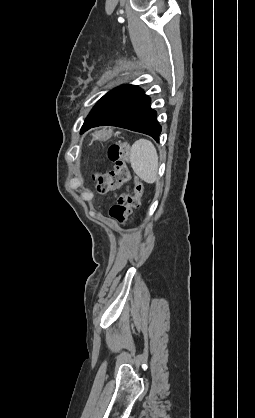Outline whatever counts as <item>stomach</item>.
Wrapping results in <instances>:
<instances>
[{"instance_id": "1", "label": "stomach", "mask_w": 255, "mask_h": 418, "mask_svg": "<svg viewBox=\"0 0 255 418\" xmlns=\"http://www.w3.org/2000/svg\"><path fill=\"white\" fill-rule=\"evenodd\" d=\"M111 131L110 130H101L98 131L96 134L93 135L94 139H108L111 136Z\"/></svg>"}]
</instances>
